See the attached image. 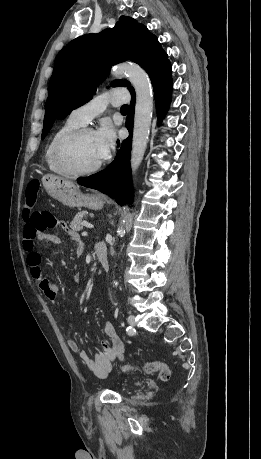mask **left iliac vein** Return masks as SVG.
I'll return each mask as SVG.
<instances>
[{"label": "left iliac vein", "instance_id": "4c4485c4", "mask_svg": "<svg viewBox=\"0 0 261 459\" xmlns=\"http://www.w3.org/2000/svg\"><path fill=\"white\" fill-rule=\"evenodd\" d=\"M128 323L130 324V326H135V317L133 315H130L128 317Z\"/></svg>", "mask_w": 261, "mask_h": 459}]
</instances>
